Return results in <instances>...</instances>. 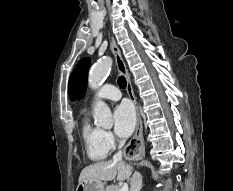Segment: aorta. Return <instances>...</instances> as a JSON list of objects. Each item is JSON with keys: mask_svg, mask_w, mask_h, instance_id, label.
Wrapping results in <instances>:
<instances>
[{"mask_svg": "<svg viewBox=\"0 0 233 191\" xmlns=\"http://www.w3.org/2000/svg\"><path fill=\"white\" fill-rule=\"evenodd\" d=\"M112 66L110 58H104L95 64L90 70L88 84L92 89H97ZM96 125L103 128H111L113 126L111 110L107 104L102 101L97 102L93 114Z\"/></svg>", "mask_w": 233, "mask_h": 191, "instance_id": "1", "label": "aorta"}]
</instances>
